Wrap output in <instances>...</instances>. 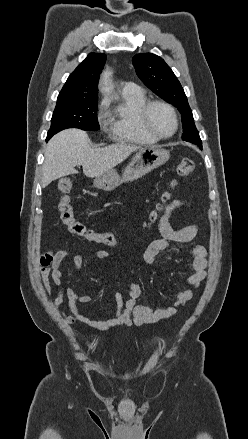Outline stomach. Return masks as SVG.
<instances>
[{
  "instance_id": "0dacf381",
  "label": "stomach",
  "mask_w": 248,
  "mask_h": 439,
  "mask_svg": "<svg viewBox=\"0 0 248 439\" xmlns=\"http://www.w3.org/2000/svg\"><path fill=\"white\" fill-rule=\"evenodd\" d=\"M170 158L168 150L157 147L147 146L138 149L131 162L124 170L122 177L116 170H109L94 179L96 188L111 191L121 183L136 180L153 169L165 164Z\"/></svg>"
}]
</instances>
